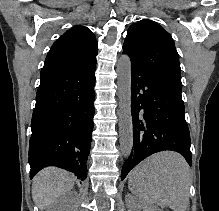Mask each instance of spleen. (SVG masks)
<instances>
[{"label": "spleen", "instance_id": "1", "mask_svg": "<svg viewBox=\"0 0 219 211\" xmlns=\"http://www.w3.org/2000/svg\"><path fill=\"white\" fill-rule=\"evenodd\" d=\"M190 167L181 153L159 151L129 173L128 187L140 201L185 211L189 205Z\"/></svg>", "mask_w": 219, "mask_h": 211}]
</instances>
